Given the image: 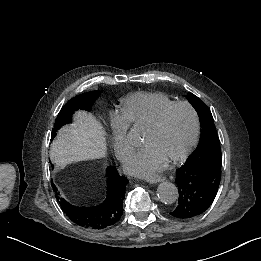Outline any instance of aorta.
Listing matches in <instances>:
<instances>
[{
  "instance_id": "aorta-1",
  "label": "aorta",
  "mask_w": 261,
  "mask_h": 261,
  "mask_svg": "<svg viewBox=\"0 0 261 261\" xmlns=\"http://www.w3.org/2000/svg\"><path fill=\"white\" fill-rule=\"evenodd\" d=\"M134 134H130V137L133 138ZM157 195L159 200L164 204H172L174 203L178 197V189L171 182H162L159 184L157 188Z\"/></svg>"
}]
</instances>
